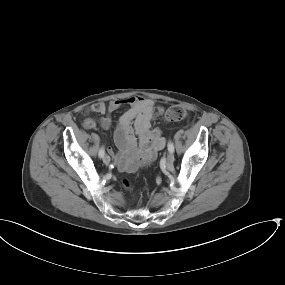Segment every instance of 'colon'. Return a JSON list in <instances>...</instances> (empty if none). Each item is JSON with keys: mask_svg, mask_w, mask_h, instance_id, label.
I'll return each instance as SVG.
<instances>
[{"mask_svg": "<svg viewBox=\"0 0 285 285\" xmlns=\"http://www.w3.org/2000/svg\"><path fill=\"white\" fill-rule=\"evenodd\" d=\"M186 115V109L181 105H173L169 109H167L165 113V119L169 121H177L181 120ZM121 184L125 188H130L131 183L127 178H123L121 180Z\"/></svg>", "mask_w": 285, "mask_h": 285, "instance_id": "1", "label": "colon"}]
</instances>
